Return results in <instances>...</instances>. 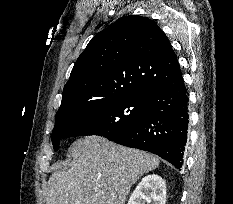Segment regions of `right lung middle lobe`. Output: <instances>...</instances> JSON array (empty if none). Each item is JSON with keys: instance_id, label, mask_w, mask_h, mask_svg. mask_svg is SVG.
<instances>
[{"instance_id": "obj_1", "label": "right lung middle lobe", "mask_w": 233, "mask_h": 204, "mask_svg": "<svg viewBox=\"0 0 233 204\" xmlns=\"http://www.w3.org/2000/svg\"><path fill=\"white\" fill-rule=\"evenodd\" d=\"M147 98L135 96L109 101L55 125L51 135L54 149H58L61 137L99 135L109 139L130 129L147 115Z\"/></svg>"}]
</instances>
